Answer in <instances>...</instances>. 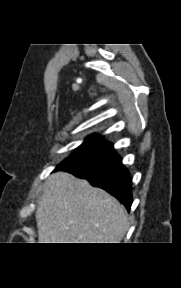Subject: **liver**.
Instances as JSON below:
<instances>
[{"mask_svg": "<svg viewBox=\"0 0 181 288\" xmlns=\"http://www.w3.org/2000/svg\"><path fill=\"white\" fill-rule=\"evenodd\" d=\"M35 215L39 243H120L129 228L117 199L66 172L46 180Z\"/></svg>", "mask_w": 181, "mask_h": 288, "instance_id": "6515ba94", "label": "liver"}]
</instances>
